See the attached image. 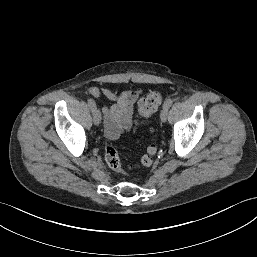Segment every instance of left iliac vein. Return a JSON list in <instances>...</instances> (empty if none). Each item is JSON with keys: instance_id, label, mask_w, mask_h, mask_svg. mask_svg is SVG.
<instances>
[{"instance_id": "obj_1", "label": "left iliac vein", "mask_w": 257, "mask_h": 257, "mask_svg": "<svg viewBox=\"0 0 257 257\" xmlns=\"http://www.w3.org/2000/svg\"><path fill=\"white\" fill-rule=\"evenodd\" d=\"M167 113H168V109L167 108H163L161 110L160 119H161L162 122H166V120H167Z\"/></svg>"}]
</instances>
